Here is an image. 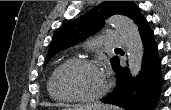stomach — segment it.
<instances>
[{"instance_id": "stomach-1", "label": "stomach", "mask_w": 171, "mask_h": 110, "mask_svg": "<svg viewBox=\"0 0 171 110\" xmlns=\"http://www.w3.org/2000/svg\"><path fill=\"white\" fill-rule=\"evenodd\" d=\"M66 110H87V109H84V108H73V109H66ZM89 110H95V109H89Z\"/></svg>"}]
</instances>
